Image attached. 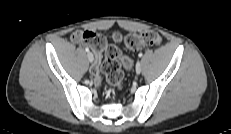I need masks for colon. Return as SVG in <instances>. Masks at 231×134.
<instances>
[{
    "label": "colon",
    "instance_id": "5ec220e1",
    "mask_svg": "<svg viewBox=\"0 0 231 134\" xmlns=\"http://www.w3.org/2000/svg\"><path fill=\"white\" fill-rule=\"evenodd\" d=\"M80 42L88 45L97 56L95 64L91 68V73L96 83L102 82V74L105 75L108 83L113 86H119L123 78L122 67L130 69L132 60L123 56L119 47L111 45L106 46V41L102 35L92 31L79 33ZM115 42L122 41L120 35H115ZM161 43L160 35L152 30L141 33H132L126 36L125 44L132 51L140 50L147 46H157ZM104 52V61L101 63V55Z\"/></svg>",
    "mask_w": 231,
    "mask_h": 134
}]
</instances>
